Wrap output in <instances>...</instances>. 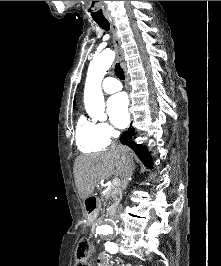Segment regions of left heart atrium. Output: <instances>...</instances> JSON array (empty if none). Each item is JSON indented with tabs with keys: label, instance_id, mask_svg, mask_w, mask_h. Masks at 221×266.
Wrapping results in <instances>:
<instances>
[{
	"label": "left heart atrium",
	"instance_id": "39dd6f15",
	"mask_svg": "<svg viewBox=\"0 0 221 266\" xmlns=\"http://www.w3.org/2000/svg\"><path fill=\"white\" fill-rule=\"evenodd\" d=\"M128 98L124 93H118L107 101V112L111 122L118 128H124L129 122Z\"/></svg>",
	"mask_w": 221,
	"mask_h": 266
}]
</instances>
